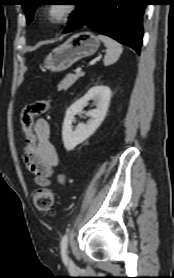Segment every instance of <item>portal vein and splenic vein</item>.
I'll list each match as a JSON object with an SVG mask.
<instances>
[{
    "label": "portal vein and splenic vein",
    "instance_id": "1",
    "mask_svg": "<svg viewBox=\"0 0 174 278\" xmlns=\"http://www.w3.org/2000/svg\"><path fill=\"white\" fill-rule=\"evenodd\" d=\"M100 58H97V59H95L93 62L95 63L96 61H98ZM81 70H82V68L81 67H78L77 69H76V72L77 73H79V72H81Z\"/></svg>",
    "mask_w": 174,
    "mask_h": 278
}]
</instances>
